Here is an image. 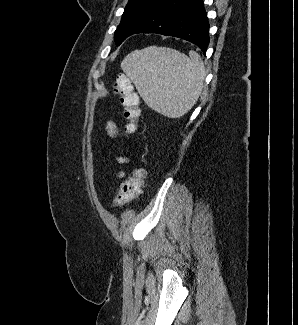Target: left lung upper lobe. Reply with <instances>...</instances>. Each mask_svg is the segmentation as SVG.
<instances>
[{
	"mask_svg": "<svg viewBox=\"0 0 298 325\" xmlns=\"http://www.w3.org/2000/svg\"><path fill=\"white\" fill-rule=\"evenodd\" d=\"M162 0H129L121 23L115 31V41L120 45L129 37L132 29Z\"/></svg>",
	"mask_w": 298,
	"mask_h": 325,
	"instance_id": "5c2ea615",
	"label": "left lung upper lobe"
}]
</instances>
